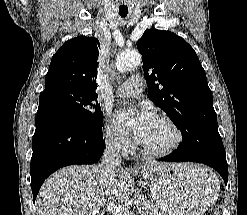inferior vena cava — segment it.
<instances>
[{
    "label": "inferior vena cava",
    "mask_w": 247,
    "mask_h": 215,
    "mask_svg": "<svg viewBox=\"0 0 247 215\" xmlns=\"http://www.w3.org/2000/svg\"><path fill=\"white\" fill-rule=\"evenodd\" d=\"M120 148L121 145L117 140H107L102 161L99 166L109 180H113L117 170L121 168L122 159L120 156Z\"/></svg>",
    "instance_id": "inferior-vena-cava-1"
}]
</instances>
